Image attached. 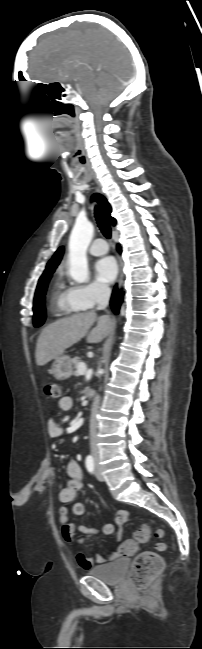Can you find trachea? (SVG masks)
Instances as JSON below:
<instances>
[{
  "label": "trachea",
  "mask_w": 202,
  "mask_h": 649,
  "mask_svg": "<svg viewBox=\"0 0 202 649\" xmlns=\"http://www.w3.org/2000/svg\"><path fill=\"white\" fill-rule=\"evenodd\" d=\"M95 218H96V221L98 223V226H99L102 234L107 239H110L111 238L110 224L108 223L104 213L102 212V210L98 206L95 207Z\"/></svg>",
  "instance_id": "trachea-1"
}]
</instances>
